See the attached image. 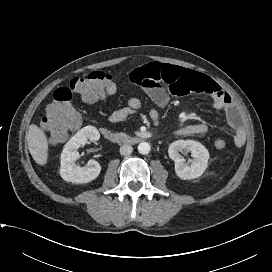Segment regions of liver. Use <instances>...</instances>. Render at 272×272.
<instances>
[{
    "instance_id": "liver-1",
    "label": "liver",
    "mask_w": 272,
    "mask_h": 272,
    "mask_svg": "<svg viewBox=\"0 0 272 272\" xmlns=\"http://www.w3.org/2000/svg\"><path fill=\"white\" fill-rule=\"evenodd\" d=\"M28 148L35 162L41 166L48 160L49 144L44 131L35 124L29 126L27 133Z\"/></svg>"
}]
</instances>
